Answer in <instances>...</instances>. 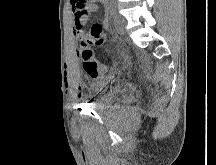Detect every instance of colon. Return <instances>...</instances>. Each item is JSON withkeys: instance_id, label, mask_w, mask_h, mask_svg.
Segmentation results:
<instances>
[{"instance_id": "5ec220e1", "label": "colon", "mask_w": 216, "mask_h": 165, "mask_svg": "<svg viewBox=\"0 0 216 165\" xmlns=\"http://www.w3.org/2000/svg\"><path fill=\"white\" fill-rule=\"evenodd\" d=\"M72 5L76 8V5H86V0H71ZM105 40V33L103 26L99 23H95L89 30L87 40L81 43L80 57L84 62L85 67L96 74H101L107 70V66L98 63L94 59V53L91 48L92 45H102Z\"/></svg>"}]
</instances>
